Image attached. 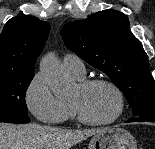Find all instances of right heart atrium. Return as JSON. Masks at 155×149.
Here are the masks:
<instances>
[{
  "label": "right heart atrium",
  "mask_w": 155,
  "mask_h": 149,
  "mask_svg": "<svg viewBox=\"0 0 155 149\" xmlns=\"http://www.w3.org/2000/svg\"><path fill=\"white\" fill-rule=\"evenodd\" d=\"M25 101L29 111L42 123L59 125L66 120L67 105L52 93L42 72L29 82Z\"/></svg>",
  "instance_id": "d8ad5b80"
}]
</instances>
